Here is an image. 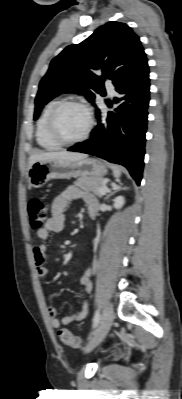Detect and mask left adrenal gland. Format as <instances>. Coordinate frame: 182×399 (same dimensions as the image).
<instances>
[{
    "instance_id": "obj_1",
    "label": "left adrenal gland",
    "mask_w": 182,
    "mask_h": 399,
    "mask_svg": "<svg viewBox=\"0 0 182 399\" xmlns=\"http://www.w3.org/2000/svg\"><path fill=\"white\" fill-rule=\"evenodd\" d=\"M120 189H121V187L119 185H114L112 188L113 192L109 193L104 199H107L109 196H111L115 192L119 191Z\"/></svg>"
}]
</instances>
